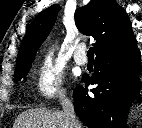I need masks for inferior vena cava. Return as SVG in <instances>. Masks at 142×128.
I'll list each match as a JSON object with an SVG mask.
<instances>
[{
  "instance_id": "602c4592",
  "label": "inferior vena cava",
  "mask_w": 142,
  "mask_h": 128,
  "mask_svg": "<svg viewBox=\"0 0 142 128\" xmlns=\"http://www.w3.org/2000/svg\"><path fill=\"white\" fill-rule=\"evenodd\" d=\"M61 105H62L63 113L66 119L69 121V124H70L69 128H80L78 120L76 119V116H75L74 106L72 102L70 101V99L64 96L62 98Z\"/></svg>"
}]
</instances>
